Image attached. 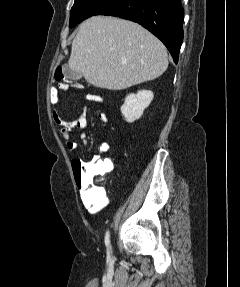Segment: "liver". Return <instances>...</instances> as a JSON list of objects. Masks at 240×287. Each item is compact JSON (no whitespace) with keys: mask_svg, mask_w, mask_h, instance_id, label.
<instances>
[{"mask_svg":"<svg viewBox=\"0 0 240 287\" xmlns=\"http://www.w3.org/2000/svg\"><path fill=\"white\" fill-rule=\"evenodd\" d=\"M68 67L95 87L123 90L161 76L168 58L163 43L141 25L93 16L72 42Z\"/></svg>","mask_w":240,"mask_h":287,"instance_id":"1","label":"liver"}]
</instances>
